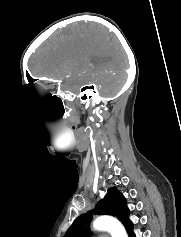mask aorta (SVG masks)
I'll list each match as a JSON object with an SVG mask.
<instances>
[{"instance_id": "1", "label": "aorta", "mask_w": 181, "mask_h": 237, "mask_svg": "<svg viewBox=\"0 0 181 237\" xmlns=\"http://www.w3.org/2000/svg\"><path fill=\"white\" fill-rule=\"evenodd\" d=\"M93 228L98 231H108L112 237H128L122 224L110 216H100L93 222Z\"/></svg>"}]
</instances>
